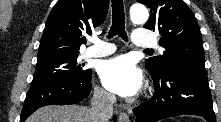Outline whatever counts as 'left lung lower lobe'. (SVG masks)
Returning <instances> with one entry per match:
<instances>
[{
    "instance_id": "1",
    "label": "left lung lower lobe",
    "mask_w": 221,
    "mask_h": 122,
    "mask_svg": "<svg viewBox=\"0 0 221 122\" xmlns=\"http://www.w3.org/2000/svg\"><path fill=\"white\" fill-rule=\"evenodd\" d=\"M151 76L155 95L134 109L136 122H156L182 114L200 115L216 122L205 69L181 65L163 76Z\"/></svg>"
}]
</instances>
